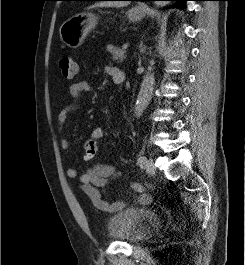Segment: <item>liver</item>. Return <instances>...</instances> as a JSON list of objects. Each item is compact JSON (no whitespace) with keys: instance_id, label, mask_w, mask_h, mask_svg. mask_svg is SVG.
<instances>
[{"instance_id":"6515ba94","label":"liver","mask_w":245,"mask_h":265,"mask_svg":"<svg viewBox=\"0 0 245 265\" xmlns=\"http://www.w3.org/2000/svg\"><path fill=\"white\" fill-rule=\"evenodd\" d=\"M126 5H128V3L122 1H108L96 3L93 7H124Z\"/></svg>"}]
</instances>
